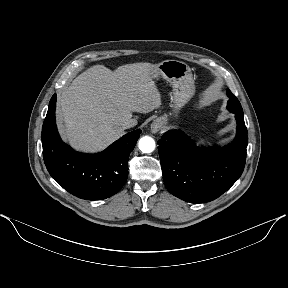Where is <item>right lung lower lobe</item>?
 Segmentation results:
<instances>
[{
  "instance_id": "obj_1",
  "label": "right lung lower lobe",
  "mask_w": 288,
  "mask_h": 288,
  "mask_svg": "<svg viewBox=\"0 0 288 288\" xmlns=\"http://www.w3.org/2000/svg\"><path fill=\"white\" fill-rule=\"evenodd\" d=\"M56 94L42 128L43 158L51 177L65 190L87 200L116 194L128 176V158L141 130L132 131L98 154H82L62 142L55 123Z\"/></svg>"
}]
</instances>
